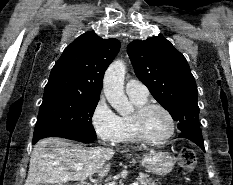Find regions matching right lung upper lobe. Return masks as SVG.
<instances>
[{
	"instance_id": "obj_1",
	"label": "right lung upper lobe",
	"mask_w": 233,
	"mask_h": 185,
	"mask_svg": "<svg viewBox=\"0 0 233 185\" xmlns=\"http://www.w3.org/2000/svg\"><path fill=\"white\" fill-rule=\"evenodd\" d=\"M120 49L117 39L86 32L68 45L51 70L45 92L99 97L104 72Z\"/></svg>"
}]
</instances>
